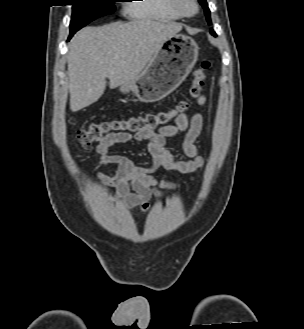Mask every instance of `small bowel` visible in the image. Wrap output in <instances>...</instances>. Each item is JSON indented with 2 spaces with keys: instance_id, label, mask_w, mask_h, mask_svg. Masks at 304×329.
Returning <instances> with one entry per match:
<instances>
[{
  "instance_id": "1",
  "label": "small bowel",
  "mask_w": 304,
  "mask_h": 329,
  "mask_svg": "<svg viewBox=\"0 0 304 329\" xmlns=\"http://www.w3.org/2000/svg\"><path fill=\"white\" fill-rule=\"evenodd\" d=\"M206 98H197L199 105H204ZM203 129V116L199 113H182L172 123L160 128L149 136L141 134H113L99 142L96 147L95 165L115 164L117 171L112 177L98 175L99 180L107 186L116 188L115 195L125 208L140 207L145 213L151 209L152 198H163L164 191L173 189L175 184L168 180H156L152 174L159 168L183 174H193L203 166L204 157L198 154L195 144ZM185 132L182 143L183 152L189 160L176 159L166 146V139ZM137 141L145 143L152 157L149 165H137L122 154H111L109 149L117 144Z\"/></svg>"
}]
</instances>
